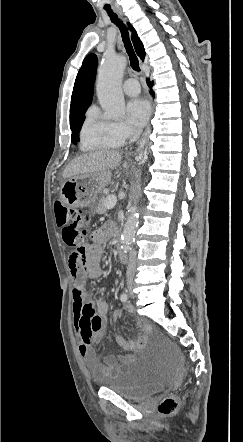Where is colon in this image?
Wrapping results in <instances>:
<instances>
[{"label": "colon", "instance_id": "1", "mask_svg": "<svg viewBox=\"0 0 243 442\" xmlns=\"http://www.w3.org/2000/svg\"><path fill=\"white\" fill-rule=\"evenodd\" d=\"M56 224L62 228V238L65 245L74 249L70 259L79 262L84 258L85 242L89 226V218L80 210L67 206L62 199H56L54 202ZM178 408V401L175 396L164 398L158 407L161 415H170Z\"/></svg>", "mask_w": 243, "mask_h": 442}]
</instances>
